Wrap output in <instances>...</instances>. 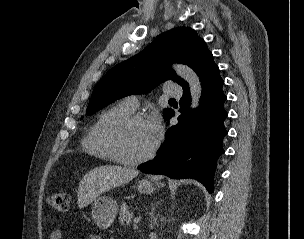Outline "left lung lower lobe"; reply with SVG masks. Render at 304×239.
Returning <instances> with one entry per match:
<instances>
[{"label": "left lung lower lobe", "mask_w": 304, "mask_h": 239, "mask_svg": "<svg viewBox=\"0 0 304 239\" xmlns=\"http://www.w3.org/2000/svg\"><path fill=\"white\" fill-rule=\"evenodd\" d=\"M198 75L203 87L199 107L193 112L190 110L189 87L183 88L178 124L167 129L157 156L139 169L174 179L193 178L212 193L217 160L224 153L222 141L227 135L224 127L226 96L222 91L224 81L212 54ZM172 116L174 111L170 110L165 118Z\"/></svg>", "instance_id": "0a47b994"}]
</instances>
